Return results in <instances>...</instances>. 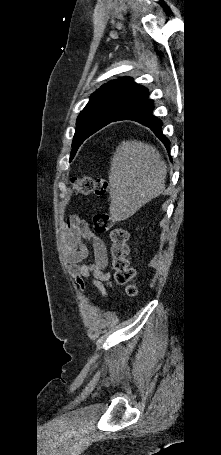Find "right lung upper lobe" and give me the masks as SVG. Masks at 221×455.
<instances>
[{
	"label": "right lung upper lobe",
	"instance_id": "cb5924a9",
	"mask_svg": "<svg viewBox=\"0 0 221 455\" xmlns=\"http://www.w3.org/2000/svg\"><path fill=\"white\" fill-rule=\"evenodd\" d=\"M148 97V90L133 82L132 78L123 77L104 84L91 95L88 105L107 104L129 110Z\"/></svg>",
	"mask_w": 221,
	"mask_h": 455
}]
</instances>
